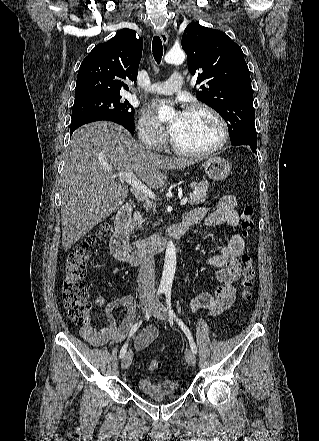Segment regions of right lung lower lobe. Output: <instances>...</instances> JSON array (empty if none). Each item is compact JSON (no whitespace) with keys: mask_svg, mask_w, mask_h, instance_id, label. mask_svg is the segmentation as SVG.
<instances>
[{"mask_svg":"<svg viewBox=\"0 0 319 441\" xmlns=\"http://www.w3.org/2000/svg\"><path fill=\"white\" fill-rule=\"evenodd\" d=\"M100 120H108V121H112V122L118 123L117 121H115L113 119H108V118H99V119H93V120H89V121H84V122H81L79 124L71 126L70 127V134H72L78 127H80V126H82L84 124H87V123H90V122H94V121H100Z\"/></svg>","mask_w":319,"mask_h":441,"instance_id":"obj_1","label":"right lung lower lobe"}]
</instances>
